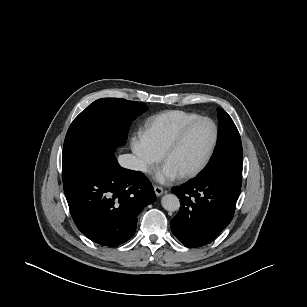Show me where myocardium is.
Segmentation results:
<instances>
[{"mask_svg": "<svg viewBox=\"0 0 307 307\" xmlns=\"http://www.w3.org/2000/svg\"><path fill=\"white\" fill-rule=\"evenodd\" d=\"M201 122H207L212 126V128H213L212 142H211V144H210V146L207 150L206 155L204 156L203 160L201 161V163L197 167H195L193 170L180 175V178L184 179V180L196 177L198 174H200L206 168V166L210 162V160L213 156V153L216 149L218 139H219V129H218L216 122L209 117H203V116H200V117L188 122L186 125H184L180 129V131L176 134V136L173 138V140L170 142V144L167 146V148L165 149V151L163 153V161L166 162L168 157L179 147V145L185 139V137L190 132V130Z\"/></svg>", "mask_w": 307, "mask_h": 307, "instance_id": "f54148a6", "label": "myocardium"}]
</instances>
